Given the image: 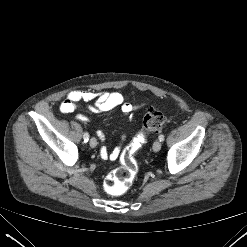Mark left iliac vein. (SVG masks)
<instances>
[{
  "mask_svg": "<svg viewBox=\"0 0 247 247\" xmlns=\"http://www.w3.org/2000/svg\"><path fill=\"white\" fill-rule=\"evenodd\" d=\"M161 142L160 141H155L153 144V151L154 152H158L161 149Z\"/></svg>",
  "mask_w": 247,
  "mask_h": 247,
  "instance_id": "4c4485c4",
  "label": "left iliac vein"
}]
</instances>
